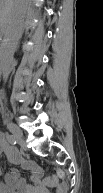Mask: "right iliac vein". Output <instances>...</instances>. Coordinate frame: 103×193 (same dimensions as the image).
<instances>
[{
	"mask_svg": "<svg viewBox=\"0 0 103 193\" xmlns=\"http://www.w3.org/2000/svg\"><path fill=\"white\" fill-rule=\"evenodd\" d=\"M7 127L9 131L16 137V139H18L19 141L23 140V133L16 125L9 122L7 124Z\"/></svg>",
	"mask_w": 103,
	"mask_h": 193,
	"instance_id": "63e3f726",
	"label": "right iliac vein"
}]
</instances>
